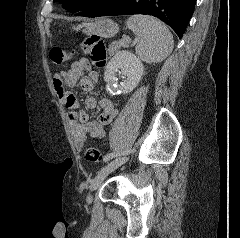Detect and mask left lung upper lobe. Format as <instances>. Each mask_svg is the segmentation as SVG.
Wrapping results in <instances>:
<instances>
[{"instance_id":"5c2ea615","label":"left lung upper lobe","mask_w":240,"mask_h":238,"mask_svg":"<svg viewBox=\"0 0 240 238\" xmlns=\"http://www.w3.org/2000/svg\"><path fill=\"white\" fill-rule=\"evenodd\" d=\"M54 2H61L66 10L71 12H81L87 7L93 0H53Z\"/></svg>"}]
</instances>
